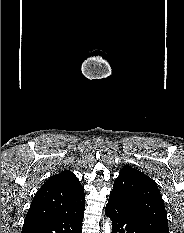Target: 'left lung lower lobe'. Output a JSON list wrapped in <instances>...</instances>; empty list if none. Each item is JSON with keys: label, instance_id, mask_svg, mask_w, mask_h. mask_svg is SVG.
Returning <instances> with one entry per match:
<instances>
[{"label": "left lung lower lobe", "instance_id": "0a47b994", "mask_svg": "<svg viewBox=\"0 0 184 233\" xmlns=\"http://www.w3.org/2000/svg\"><path fill=\"white\" fill-rule=\"evenodd\" d=\"M105 214L112 220V233H152L139 218L114 199L109 198Z\"/></svg>", "mask_w": 184, "mask_h": 233}]
</instances>
